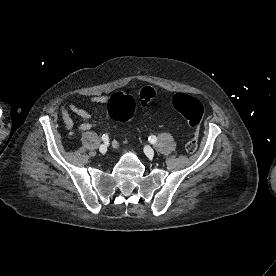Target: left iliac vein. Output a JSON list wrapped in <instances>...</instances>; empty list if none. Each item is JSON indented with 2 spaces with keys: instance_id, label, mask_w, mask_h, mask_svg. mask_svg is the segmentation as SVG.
Listing matches in <instances>:
<instances>
[{
  "instance_id": "4c4485c4",
  "label": "left iliac vein",
  "mask_w": 276,
  "mask_h": 276,
  "mask_svg": "<svg viewBox=\"0 0 276 276\" xmlns=\"http://www.w3.org/2000/svg\"><path fill=\"white\" fill-rule=\"evenodd\" d=\"M144 152L149 158H153L154 150L150 146H145L144 147Z\"/></svg>"
}]
</instances>
